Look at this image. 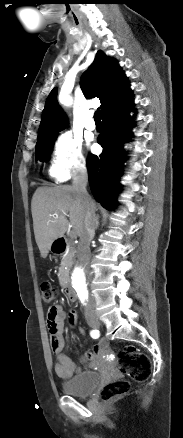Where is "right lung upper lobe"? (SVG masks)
<instances>
[{"mask_svg":"<svg viewBox=\"0 0 183 438\" xmlns=\"http://www.w3.org/2000/svg\"><path fill=\"white\" fill-rule=\"evenodd\" d=\"M80 84L87 99H100L102 115L131 95L124 72L114 59L102 51L97 52L93 63L83 74ZM57 91V88H54L46 100L38 137L57 133L67 125V118L57 102Z\"/></svg>","mask_w":183,"mask_h":438,"instance_id":"1","label":"right lung upper lobe"}]
</instances>
